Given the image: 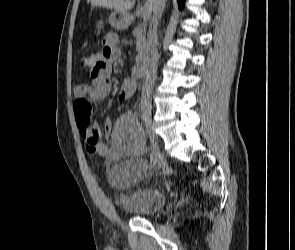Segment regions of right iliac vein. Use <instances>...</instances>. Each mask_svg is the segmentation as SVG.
Listing matches in <instances>:
<instances>
[{"label": "right iliac vein", "mask_w": 295, "mask_h": 250, "mask_svg": "<svg viewBox=\"0 0 295 250\" xmlns=\"http://www.w3.org/2000/svg\"><path fill=\"white\" fill-rule=\"evenodd\" d=\"M144 125L146 128V131L149 135L150 141L152 143V147L154 148V155L156 156V162L158 167H160L163 163V155L160 152L159 146H158V136L153 132V124L152 121L149 118H144Z\"/></svg>", "instance_id": "right-iliac-vein-1"}]
</instances>
